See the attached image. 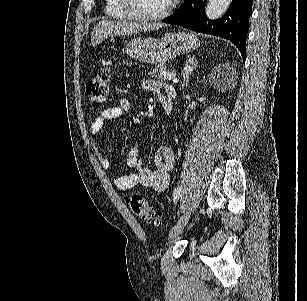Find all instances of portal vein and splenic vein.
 I'll use <instances>...</instances> for the list:
<instances>
[{
    "mask_svg": "<svg viewBox=\"0 0 307 301\" xmlns=\"http://www.w3.org/2000/svg\"><path fill=\"white\" fill-rule=\"evenodd\" d=\"M164 78H168V80H173V82H178V78H176V74H171V72H163Z\"/></svg>",
    "mask_w": 307,
    "mask_h": 301,
    "instance_id": "obj_1",
    "label": "portal vein and splenic vein"
}]
</instances>
